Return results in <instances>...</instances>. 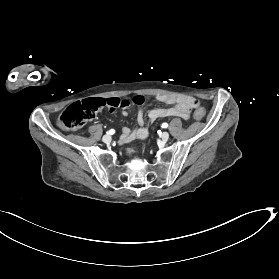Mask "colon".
Here are the masks:
<instances>
[{
	"mask_svg": "<svg viewBox=\"0 0 279 279\" xmlns=\"http://www.w3.org/2000/svg\"><path fill=\"white\" fill-rule=\"evenodd\" d=\"M192 108H195L194 118L202 120L205 116V110L198 105V101L184 96L182 97ZM146 102V97L143 95L134 96L131 99L127 98H94L74 103L67 107L59 116L58 123L65 130H78L82 128L88 121L92 120L98 111L109 106L113 108L128 107L131 104L142 105Z\"/></svg>",
	"mask_w": 279,
	"mask_h": 279,
	"instance_id": "colon-1",
	"label": "colon"
}]
</instances>
